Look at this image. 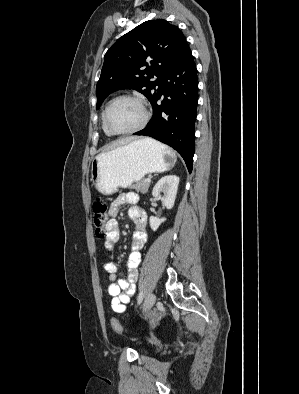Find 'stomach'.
<instances>
[{"instance_id":"obj_1","label":"stomach","mask_w":299,"mask_h":394,"mask_svg":"<svg viewBox=\"0 0 299 394\" xmlns=\"http://www.w3.org/2000/svg\"><path fill=\"white\" fill-rule=\"evenodd\" d=\"M176 159L174 152L154 140L139 139L99 154L92 161L90 180L100 193L110 195L149 173L170 170Z\"/></svg>"}]
</instances>
